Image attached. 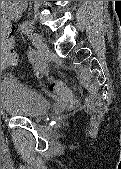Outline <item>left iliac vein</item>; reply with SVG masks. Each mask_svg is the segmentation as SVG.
Here are the masks:
<instances>
[{
    "label": "left iliac vein",
    "instance_id": "1",
    "mask_svg": "<svg viewBox=\"0 0 121 169\" xmlns=\"http://www.w3.org/2000/svg\"><path fill=\"white\" fill-rule=\"evenodd\" d=\"M32 42L35 47L38 49L41 55L47 56L49 53V49L45 43L43 36L39 33H34L32 36Z\"/></svg>",
    "mask_w": 121,
    "mask_h": 169
}]
</instances>
